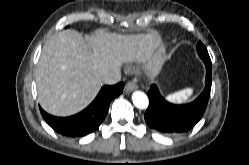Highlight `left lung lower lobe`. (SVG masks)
I'll use <instances>...</instances> for the list:
<instances>
[{"instance_id": "left-lung-lower-lobe-1", "label": "left lung lower lobe", "mask_w": 249, "mask_h": 165, "mask_svg": "<svg viewBox=\"0 0 249 165\" xmlns=\"http://www.w3.org/2000/svg\"><path fill=\"white\" fill-rule=\"evenodd\" d=\"M205 89L192 103L175 105L166 101L156 85L148 91L149 107L145 112L147 125L160 133L176 135L191 130L202 118L208 104L211 91V63H205Z\"/></svg>"}]
</instances>
